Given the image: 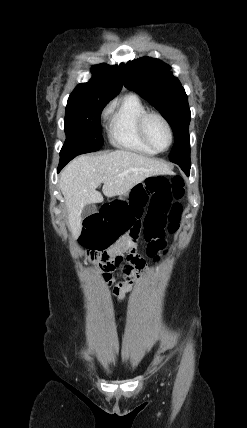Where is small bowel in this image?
Returning <instances> with one entry per match:
<instances>
[{"label":"small bowel","mask_w":247,"mask_h":428,"mask_svg":"<svg viewBox=\"0 0 247 428\" xmlns=\"http://www.w3.org/2000/svg\"><path fill=\"white\" fill-rule=\"evenodd\" d=\"M136 248V243L128 236L120 239L115 247H112L110 252L113 258H120L132 249ZM145 264L140 267H135L131 262L129 265L122 267L124 278L122 281L114 282L110 279L109 284L113 285L112 294L118 304L122 303L126 294L131 291L136 281H138L143 274Z\"/></svg>","instance_id":"obj_1"}]
</instances>
